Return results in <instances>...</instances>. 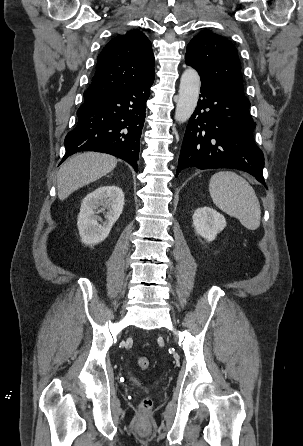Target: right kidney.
<instances>
[{
    "label": "right kidney",
    "mask_w": 303,
    "mask_h": 446,
    "mask_svg": "<svg viewBox=\"0 0 303 446\" xmlns=\"http://www.w3.org/2000/svg\"><path fill=\"white\" fill-rule=\"evenodd\" d=\"M124 206V193L114 185L100 186L82 201L77 226L82 243L94 246L107 238ZM107 209L106 221L96 214ZM99 221L101 224H99Z\"/></svg>",
    "instance_id": "obj_1"
}]
</instances>
